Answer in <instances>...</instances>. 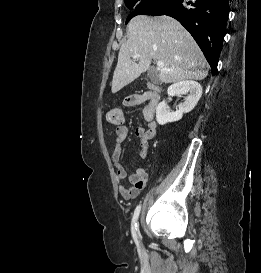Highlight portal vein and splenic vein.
<instances>
[{"instance_id": "18ae733b", "label": "portal vein and splenic vein", "mask_w": 261, "mask_h": 273, "mask_svg": "<svg viewBox=\"0 0 261 273\" xmlns=\"http://www.w3.org/2000/svg\"><path fill=\"white\" fill-rule=\"evenodd\" d=\"M139 57H140V54H136L135 56H133L134 59L139 58ZM157 67L159 70L161 69V70L167 71V72L173 71L172 69L164 68V63L162 61H157Z\"/></svg>"}]
</instances>
